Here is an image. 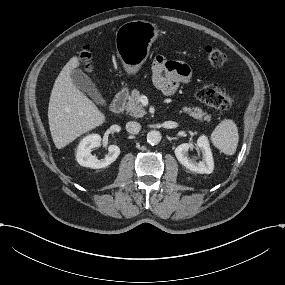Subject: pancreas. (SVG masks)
<instances>
[{
    "label": "pancreas",
    "instance_id": "cf45deb5",
    "mask_svg": "<svg viewBox=\"0 0 285 285\" xmlns=\"http://www.w3.org/2000/svg\"><path fill=\"white\" fill-rule=\"evenodd\" d=\"M140 98H141L140 91L138 89H134L131 93L128 103L125 106V111L127 113H131L136 118H142L146 114V112L140 106ZM182 110L183 112L190 114L192 118H194L196 121L200 123L204 121L209 123L211 120V116L207 115V112L203 111V109L200 107L191 108L188 106H184Z\"/></svg>",
    "mask_w": 285,
    "mask_h": 285
}]
</instances>
